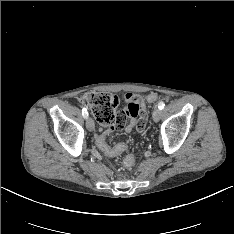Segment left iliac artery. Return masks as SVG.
Returning a JSON list of instances; mask_svg holds the SVG:
<instances>
[{
	"instance_id": "left-iliac-artery-1",
	"label": "left iliac artery",
	"mask_w": 234,
	"mask_h": 234,
	"mask_svg": "<svg viewBox=\"0 0 234 234\" xmlns=\"http://www.w3.org/2000/svg\"><path fill=\"white\" fill-rule=\"evenodd\" d=\"M164 106H165V104H164L163 101H160V102L158 103V108H159L160 110L163 109Z\"/></svg>"
}]
</instances>
